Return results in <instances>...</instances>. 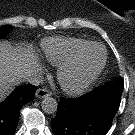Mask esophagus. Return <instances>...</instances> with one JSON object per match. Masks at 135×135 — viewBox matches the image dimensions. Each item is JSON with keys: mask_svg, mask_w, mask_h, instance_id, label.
Masks as SVG:
<instances>
[{"mask_svg": "<svg viewBox=\"0 0 135 135\" xmlns=\"http://www.w3.org/2000/svg\"><path fill=\"white\" fill-rule=\"evenodd\" d=\"M36 97L38 98H45L47 96H50L51 95V92L47 89H42V88H39L36 93H35Z\"/></svg>", "mask_w": 135, "mask_h": 135, "instance_id": "esophagus-1", "label": "esophagus"}]
</instances>
